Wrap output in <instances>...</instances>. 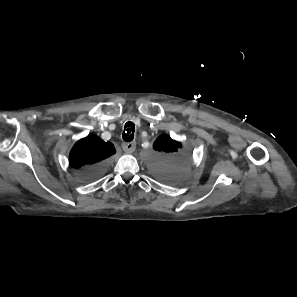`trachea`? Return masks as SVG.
I'll return each mask as SVG.
<instances>
[{
  "mask_svg": "<svg viewBox=\"0 0 297 297\" xmlns=\"http://www.w3.org/2000/svg\"><path fill=\"white\" fill-rule=\"evenodd\" d=\"M135 125L133 122H127L125 124L124 131L122 133V138L125 142H131L134 139Z\"/></svg>",
  "mask_w": 297,
  "mask_h": 297,
  "instance_id": "1",
  "label": "trachea"
}]
</instances>
